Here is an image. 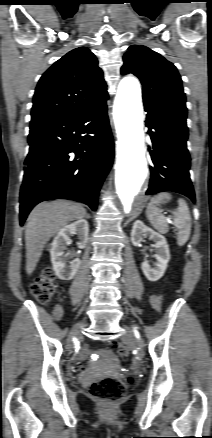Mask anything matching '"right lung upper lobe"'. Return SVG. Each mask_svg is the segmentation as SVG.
Returning <instances> with one entry per match:
<instances>
[{
    "label": "right lung upper lobe",
    "instance_id": "right-lung-upper-lobe-1",
    "mask_svg": "<svg viewBox=\"0 0 212 438\" xmlns=\"http://www.w3.org/2000/svg\"><path fill=\"white\" fill-rule=\"evenodd\" d=\"M102 70L87 48H76L40 78L33 98L31 122L92 110L108 99Z\"/></svg>",
    "mask_w": 212,
    "mask_h": 438
}]
</instances>
